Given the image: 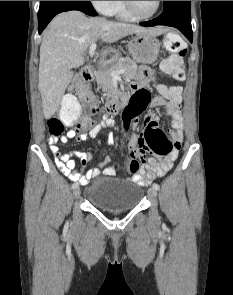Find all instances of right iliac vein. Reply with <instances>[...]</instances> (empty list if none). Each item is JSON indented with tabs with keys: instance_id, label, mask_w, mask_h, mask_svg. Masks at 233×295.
Segmentation results:
<instances>
[{
	"instance_id": "right-iliac-vein-1",
	"label": "right iliac vein",
	"mask_w": 233,
	"mask_h": 295,
	"mask_svg": "<svg viewBox=\"0 0 233 295\" xmlns=\"http://www.w3.org/2000/svg\"><path fill=\"white\" fill-rule=\"evenodd\" d=\"M80 193H81V190H80V187H79V184H78L77 187L73 191V195H74L75 198H78L80 196Z\"/></svg>"
}]
</instances>
